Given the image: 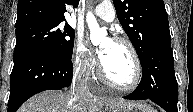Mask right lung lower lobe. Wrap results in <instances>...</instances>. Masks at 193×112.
Listing matches in <instances>:
<instances>
[{"label": "right lung lower lobe", "instance_id": "right-lung-lower-lobe-1", "mask_svg": "<svg viewBox=\"0 0 193 112\" xmlns=\"http://www.w3.org/2000/svg\"><path fill=\"white\" fill-rule=\"evenodd\" d=\"M73 64L50 50H38L14 60L8 112L45 90H61L72 82Z\"/></svg>", "mask_w": 193, "mask_h": 112}]
</instances>
